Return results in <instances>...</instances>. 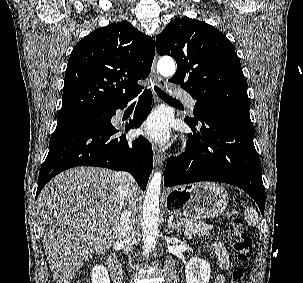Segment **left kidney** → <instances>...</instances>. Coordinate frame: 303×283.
<instances>
[{
	"label": "left kidney",
	"instance_id": "1",
	"mask_svg": "<svg viewBox=\"0 0 303 283\" xmlns=\"http://www.w3.org/2000/svg\"><path fill=\"white\" fill-rule=\"evenodd\" d=\"M186 283H209L211 269L208 261L191 258L185 267Z\"/></svg>",
	"mask_w": 303,
	"mask_h": 283
}]
</instances>
